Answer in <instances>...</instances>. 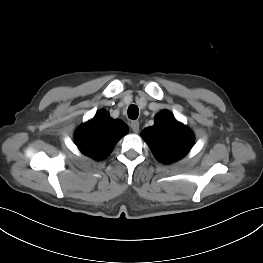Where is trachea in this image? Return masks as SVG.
<instances>
[{
  "instance_id": "obj_1",
  "label": "trachea",
  "mask_w": 263,
  "mask_h": 263,
  "mask_svg": "<svg viewBox=\"0 0 263 263\" xmlns=\"http://www.w3.org/2000/svg\"><path fill=\"white\" fill-rule=\"evenodd\" d=\"M138 114H139V109L136 105H130L128 107V117L130 119H137L138 118Z\"/></svg>"
}]
</instances>
